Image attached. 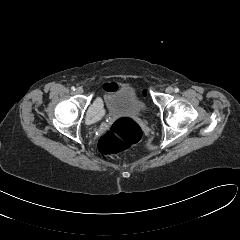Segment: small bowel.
I'll list each match as a JSON object with an SVG mask.
<instances>
[{"label": "small bowel", "mask_w": 240, "mask_h": 240, "mask_svg": "<svg viewBox=\"0 0 240 240\" xmlns=\"http://www.w3.org/2000/svg\"><path fill=\"white\" fill-rule=\"evenodd\" d=\"M117 87L116 83H106L104 85V89L107 91L113 90ZM104 114V109L102 105V100L100 98H97L92 106L90 107L89 113H88V121L89 122H95L99 120Z\"/></svg>", "instance_id": "obj_1"}]
</instances>
